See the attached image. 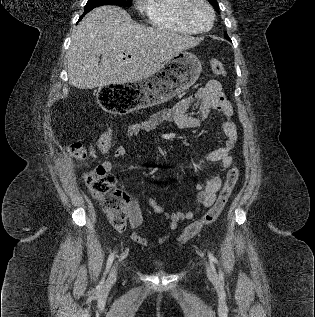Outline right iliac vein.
<instances>
[{
  "label": "right iliac vein",
  "instance_id": "63e3f726",
  "mask_svg": "<svg viewBox=\"0 0 315 317\" xmlns=\"http://www.w3.org/2000/svg\"><path fill=\"white\" fill-rule=\"evenodd\" d=\"M116 277H117V263L112 267V270L107 279V284H112L116 280Z\"/></svg>",
  "mask_w": 315,
  "mask_h": 317
}]
</instances>
